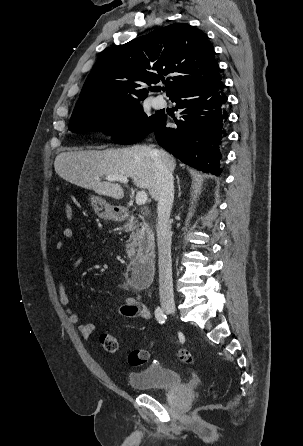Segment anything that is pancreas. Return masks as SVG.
Wrapping results in <instances>:
<instances>
[{
  "label": "pancreas",
  "mask_w": 303,
  "mask_h": 446,
  "mask_svg": "<svg viewBox=\"0 0 303 446\" xmlns=\"http://www.w3.org/2000/svg\"><path fill=\"white\" fill-rule=\"evenodd\" d=\"M123 229L126 232H130V237L126 244L129 258H133L136 253L141 255L154 250V233L150 225L144 220L142 223H138V220L131 218L123 226Z\"/></svg>",
  "instance_id": "obj_1"
}]
</instances>
